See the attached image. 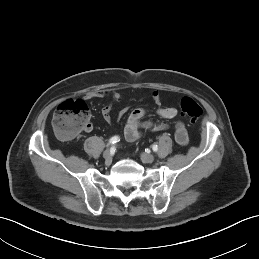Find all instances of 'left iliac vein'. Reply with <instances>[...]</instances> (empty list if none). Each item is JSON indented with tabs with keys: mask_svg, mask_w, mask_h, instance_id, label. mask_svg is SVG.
<instances>
[{
	"mask_svg": "<svg viewBox=\"0 0 259 259\" xmlns=\"http://www.w3.org/2000/svg\"><path fill=\"white\" fill-rule=\"evenodd\" d=\"M140 158L143 163H152L154 161V156L148 153H142L140 155Z\"/></svg>",
	"mask_w": 259,
	"mask_h": 259,
	"instance_id": "4c4485c4",
	"label": "left iliac vein"
}]
</instances>
